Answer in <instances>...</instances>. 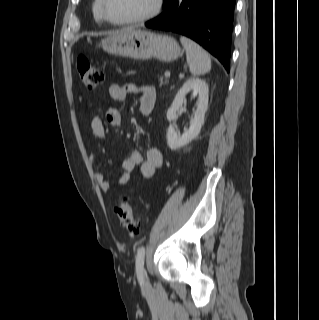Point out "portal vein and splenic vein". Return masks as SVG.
<instances>
[{"mask_svg": "<svg viewBox=\"0 0 319 320\" xmlns=\"http://www.w3.org/2000/svg\"><path fill=\"white\" fill-rule=\"evenodd\" d=\"M165 76L168 78V77H170V72L169 71H166L165 72Z\"/></svg>", "mask_w": 319, "mask_h": 320, "instance_id": "obj_1", "label": "portal vein and splenic vein"}]
</instances>
